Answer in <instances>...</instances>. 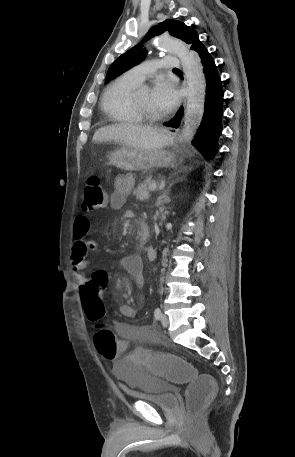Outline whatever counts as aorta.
I'll list each match as a JSON object with an SVG mask.
<instances>
[{
  "mask_svg": "<svg viewBox=\"0 0 295 457\" xmlns=\"http://www.w3.org/2000/svg\"><path fill=\"white\" fill-rule=\"evenodd\" d=\"M155 45L173 51L181 61L187 80L188 100L184 115L183 136L190 138L198 128L204 113L206 81L201 60L195 52L189 50L187 44L168 34L156 38Z\"/></svg>",
  "mask_w": 295,
  "mask_h": 457,
  "instance_id": "1",
  "label": "aorta"
}]
</instances>
